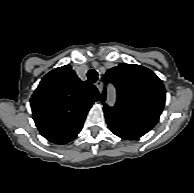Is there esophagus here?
<instances>
[{
    "mask_svg": "<svg viewBox=\"0 0 194 193\" xmlns=\"http://www.w3.org/2000/svg\"><path fill=\"white\" fill-rule=\"evenodd\" d=\"M96 87H97L98 91H99L100 93H102V88H103V83H102V81H97V82H96Z\"/></svg>",
    "mask_w": 194,
    "mask_h": 193,
    "instance_id": "esophagus-1",
    "label": "esophagus"
}]
</instances>
